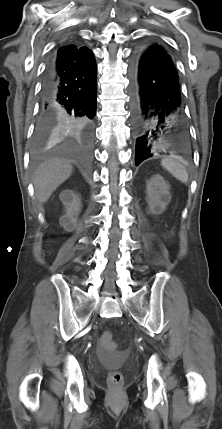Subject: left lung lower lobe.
Instances as JSON below:
<instances>
[{
	"label": "left lung lower lobe",
	"mask_w": 222,
	"mask_h": 429,
	"mask_svg": "<svg viewBox=\"0 0 222 429\" xmlns=\"http://www.w3.org/2000/svg\"><path fill=\"white\" fill-rule=\"evenodd\" d=\"M132 124L136 139L135 163L157 154L189 148L179 77L169 53L158 43L135 48L130 66Z\"/></svg>",
	"instance_id": "0a47b994"
}]
</instances>
